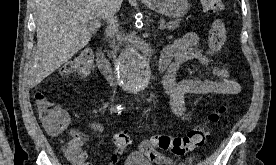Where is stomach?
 <instances>
[{
  "label": "stomach",
  "mask_w": 276,
  "mask_h": 165,
  "mask_svg": "<svg viewBox=\"0 0 276 165\" xmlns=\"http://www.w3.org/2000/svg\"><path fill=\"white\" fill-rule=\"evenodd\" d=\"M149 8L157 11L158 13L172 17L179 18L184 16L188 9L189 4L187 0H142Z\"/></svg>",
  "instance_id": "obj_1"
}]
</instances>
